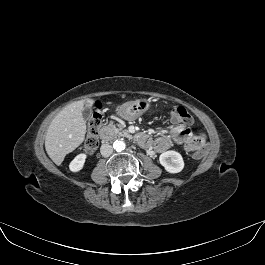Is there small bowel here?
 <instances>
[{"instance_id": "c3829d8e", "label": "small bowel", "mask_w": 265, "mask_h": 265, "mask_svg": "<svg viewBox=\"0 0 265 265\" xmlns=\"http://www.w3.org/2000/svg\"><path fill=\"white\" fill-rule=\"evenodd\" d=\"M171 121L175 125L170 133L160 136L152 144L157 152L166 151L174 143L182 145L187 152L204 151L206 143L204 135L193 136L191 130L180 123L176 118L171 117Z\"/></svg>"}]
</instances>
